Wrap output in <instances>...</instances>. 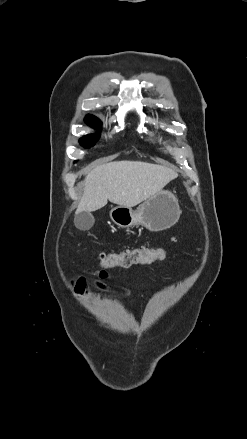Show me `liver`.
Listing matches in <instances>:
<instances>
[{
    "label": "liver",
    "mask_w": 247,
    "mask_h": 439,
    "mask_svg": "<svg viewBox=\"0 0 247 439\" xmlns=\"http://www.w3.org/2000/svg\"><path fill=\"white\" fill-rule=\"evenodd\" d=\"M177 173L163 165L142 161H114L94 167L85 177L84 191L77 208L93 212L108 200L133 207L161 191Z\"/></svg>",
    "instance_id": "1"
}]
</instances>
